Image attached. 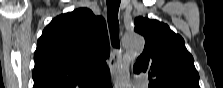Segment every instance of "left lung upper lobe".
Instances as JSON below:
<instances>
[{"instance_id":"5c2ea615","label":"left lung upper lobe","mask_w":223,"mask_h":88,"mask_svg":"<svg viewBox=\"0 0 223 88\" xmlns=\"http://www.w3.org/2000/svg\"><path fill=\"white\" fill-rule=\"evenodd\" d=\"M134 30L145 38L134 72L147 74L150 88H200L194 59L180 35L167 24L143 17L135 19Z\"/></svg>"}]
</instances>
